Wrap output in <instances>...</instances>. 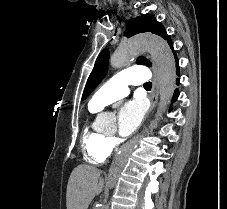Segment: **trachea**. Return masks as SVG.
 <instances>
[{
  "label": "trachea",
  "instance_id": "3493384b",
  "mask_svg": "<svg viewBox=\"0 0 227 209\" xmlns=\"http://www.w3.org/2000/svg\"><path fill=\"white\" fill-rule=\"evenodd\" d=\"M151 86H152V83H151V82H146V83L144 84V87H145V88H151Z\"/></svg>",
  "mask_w": 227,
  "mask_h": 209
}]
</instances>
